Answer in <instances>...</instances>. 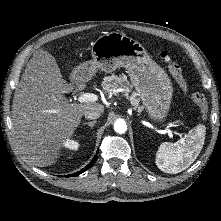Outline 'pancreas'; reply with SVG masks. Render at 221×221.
Segmentation results:
<instances>
[{"label": "pancreas", "mask_w": 221, "mask_h": 221, "mask_svg": "<svg viewBox=\"0 0 221 221\" xmlns=\"http://www.w3.org/2000/svg\"><path fill=\"white\" fill-rule=\"evenodd\" d=\"M130 83L127 80L126 75H110L103 79L102 87L106 93H113L117 88L124 89V95L128 97V93L130 92ZM130 102L134 108H138V110H142V106L139 105L140 99L137 97L135 93L130 96Z\"/></svg>", "instance_id": "pancreas-1"}]
</instances>
